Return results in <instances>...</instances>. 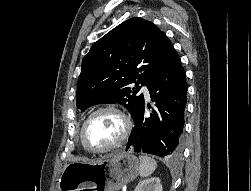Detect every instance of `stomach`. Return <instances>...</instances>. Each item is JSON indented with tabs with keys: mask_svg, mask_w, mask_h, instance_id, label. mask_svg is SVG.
Returning <instances> with one entry per match:
<instances>
[{
	"mask_svg": "<svg viewBox=\"0 0 251 191\" xmlns=\"http://www.w3.org/2000/svg\"><path fill=\"white\" fill-rule=\"evenodd\" d=\"M140 163L132 153H109L96 161H72L66 165L59 179L60 191H118L122 185L135 179Z\"/></svg>",
	"mask_w": 251,
	"mask_h": 191,
	"instance_id": "1",
	"label": "stomach"
}]
</instances>
